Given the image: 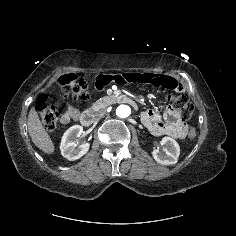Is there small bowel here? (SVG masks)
Returning a JSON list of instances; mask_svg holds the SVG:
<instances>
[{
  "instance_id": "small-bowel-1",
  "label": "small bowel",
  "mask_w": 236,
  "mask_h": 236,
  "mask_svg": "<svg viewBox=\"0 0 236 236\" xmlns=\"http://www.w3.org/2000/svg\"><path fill=\"white\" fill-rule=\"evenodd\" d=\"M118 79L122 83H145L154 86L182 90L183 86L176 79L156 72L119 73L103 75L98 81V87L103 89L106 82ZM79 116L77 109L69 107L61 117L62 123H68ZM142 122L155 136L167 135L176 139H183L188 132V126L181 120L177 110L168 107L163 118L155 110H146L141 116Z\"/></svg>"
}]
</instances>
